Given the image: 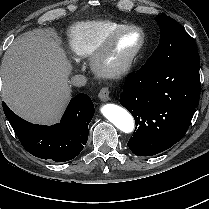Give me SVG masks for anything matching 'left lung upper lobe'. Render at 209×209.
<instances>
[{
    "label": "left lung upper lobe",
    "instance_id": "1",
    "mask_svg": "<svg viewBox=\"0 0 209 209\" xmlns=\"http://www.w3.org/2000/svg\"><path fill=\"white\" fill-rule=\"evenodd\" d=\"M155 20L160 26L161 38L157 49L144 65L162 67L198 53L192 38L173 18L158 15Z\"/></svg>",
    "mask_w": 209,
    "mask_h": 209
}]
</instances>
